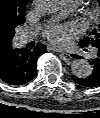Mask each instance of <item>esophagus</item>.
<instances>
[{"label": "esophagus", "instance_id": "1", "mask_svg": "<svg viewBox=\"0 0 100 118\" xmlns=\"http://www.w3.org/2000/svg\"><path fill=\"white\" fill-rule=\"evenodd\" d=\"M48 49H50L52 51H55V52H60V53H64L65 54V51H63L60 48L54 47V46H48Z\"/></svg>", "mask_w": 100, "mask_h": 118}]
</instances>
